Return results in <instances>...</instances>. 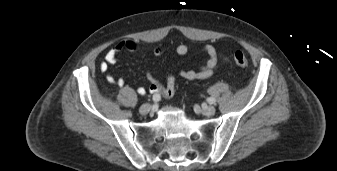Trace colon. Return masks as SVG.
Returning <instances> with one entry per match:
<instances>
[{
    "instance_id": "1",
    "label": "colon",
    "mask_w": 337,
    "mask_h": 171,
    "mask_svg": "<svg viewBox=\"0 0 337 171\" xmlns=\"http://www.w3.org/2000/svg\"><path fill=\"white\" fill-rule=\"evenodd\" d=\"M233 59H234V62L236 63V65H238L239 67L244 68V67H247L248 64H249L247 57L241 51H236L233 54Z\"/></svg>"
}]
</instances>
